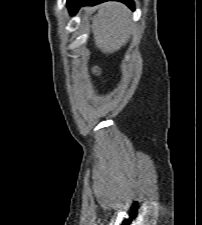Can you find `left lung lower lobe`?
I'll return each mask as SVG.
<instances>
[{
    "mask_svg": "<svg viewBox=\"0 0 202 225\" xmlns=\"http://www.w3.org/2000/svg\"><path fill=\"white\" fill-rule=\"evenodd\" d=\"M106 1H119L126 4L129 8L134 9V2L132 0H77L73 6L74 8L73 13H75L80 6L96 5Z\"/></svg>",
    "mask_w": 202,
    "mask_h": 225,
    "instance_id": "obj_1",
    "label": "left lung lower lobe"
}]
</instances>
